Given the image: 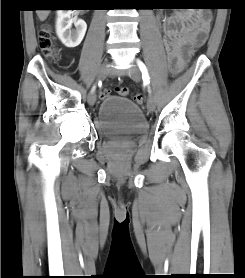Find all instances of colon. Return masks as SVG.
I'll return each mask as SVG.
<instances>
[{
	"mask_svg": "<svg viewBox=\"0 0 245 278\" xmlns=\"http://www.w3.org/2000/svg\"><path fill=\"white\" fill-rule=\"evenodd\" d=\"M209 2H210V0H204L203 3L191 5V8L208 11L210 8H212V5ZM203 27L205 29L208 28L207 20L204 21ZM39 45H40L42 52L48 62L53 63L58 59L59 52H58L57 44H56L55 38L50 33V30L48 27H45L40 30ZM170 72L174 74V73H176V69L170 68ZM116 91L120 96H127L129 94V89L127 87H118V88H116ZM109 95H110L109 90H104L101 93V96H109ZM133 99L137 104H142L143 100H144L143 96L140 94H136L133 97Z\"/></svg>",
	"mask_w": 245,
	"mask_h": 278,
	"instance_id": "obj_1",
	"label": "colon"
}]
</instances>
